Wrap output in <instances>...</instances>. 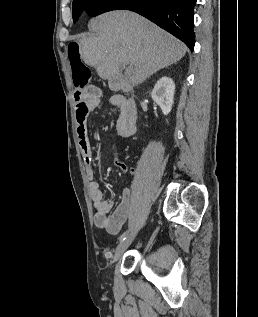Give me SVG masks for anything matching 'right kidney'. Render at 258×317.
Masks as SVG:
<instances>
[{"mask_svg": "<svg viewBox=\"0 0 258 317\" xmlns=\"http://www.w3.org/2000/svg\"><path fill=\"white\" fill-rule=\"evenodd\" d=\"M175 82L170 76H162L157 80L151 96L162 108L163 114H168L174 102Z\"/></svg>", "mask_w": 258, "mask_h": 317, "instance_id": "1", "label": "right kidney"}]
</instances>
